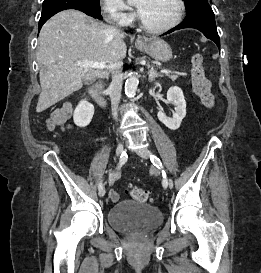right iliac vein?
<instances>
[{"label":"right iliac vein","mask_w":261,"mask_h":273,"mask_svg":"<svg viewBox=\"0 0 261 273\" xmlns=\"http://www.w3.org/2000/svg\"><path fill=\"white\" fill-rule=\"evenodd\" d=\"M124 151V144L122 141H120L117 145V149H116V156L119 157ZM105 195V189H101L99 190V196L103 197Z\"/></svg>","instance_id":"63e3f726"}]
</instances>
